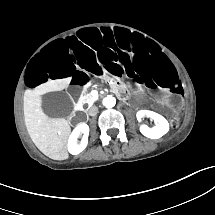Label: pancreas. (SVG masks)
Wrapping results in <instances>:
<instances>
[{"label":"pancreas","instance_id":"obj_1","mask_svg":"<svg viewBox=\"0 0 215 215\" xmlns=\"http://www.w3.org/2000/svg\"><path fill=\"white\" fill-rule=\"evenodd\" d=\"M98 99V97L97 98H95V97H93V96H91L90 94H85L84 96H83V103H86V104H88V105H91L93 102H95L96 100Z\"/></svg>","mask_w":215,"mask_h":215}]
</instances>
